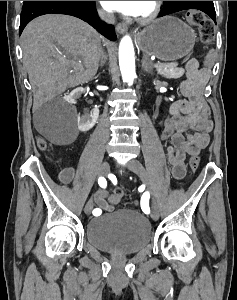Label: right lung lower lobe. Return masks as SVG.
<instances>
[{"instance_id":"right-lung-lower-lobe-1","label":"right lung lower lobe","mask_w":237,"mask_h":300,"mask_svg":"<svg viewBox=\"0 0 237 300\" xmlns=\"http://www.w3.org/2000/svg\"><path fill=\"white\" fill-rule=\"evenodd\" d=\"M51 13L78 17L88 22L108 39L112 41L117 39L114 27L99 20L94 1H38L32 5L23 7L19 34L22 33L25 26L32 19Z\"/></svg>"}]
</instances>
